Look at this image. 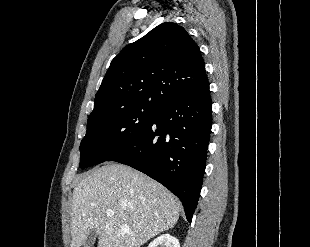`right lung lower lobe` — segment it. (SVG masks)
<instances>
[{
	"label": "right lung lower lobe",
	"mask_w": 310,
	"mask_h": 247,
	"mask_svg": "<svg viewBox=\"0 0 310 247\" xmlns=\"http://www.w3.org/2000/svg\"><path fill=\"white\" fill-rule=\"evenodd\" d=\"M212 126L209 83L162 105L138 137L110 157L163 184L191 222L199 199Z\"/></svg>",
	"instance_id": "1"
}]
</instances>
